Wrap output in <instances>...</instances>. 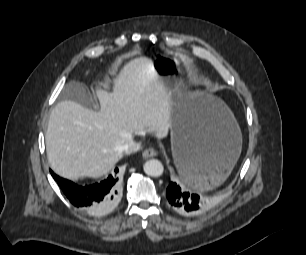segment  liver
Instances as JSON below:
<instances>
[{
	"mask_svg": "<svg viewBox=\"0 0 306 255\" xmlns=\"http://www.w3.org/2000/svg\"><path fill=\"white\" fill-rule=\"evenodd\" d=\"M100 111L74 100L52 110L45 136L51 169L68 179L99 178L122 157L120 147L134 134L164 138L171 129L170 94L149 58L128 62L113 92L96 90Z\"/></svg>",
	"mask_w": 306,
	"mask_h": 255,
	"instance_id": "liver-1",
	"label": "liver"
}]
</instances>
